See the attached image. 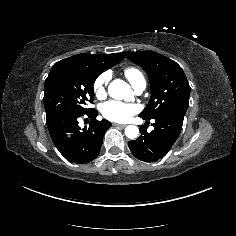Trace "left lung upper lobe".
<instances>
[{
  "label": "left lung upper lobe",
  "instance_id": "left-lung-upper-lobe-1",
  "mask_svg": "<svg viewBox=\"0 0 236 236\" xmlns=\"http://www.w3.org/2000/svg\"><path fill=\"white\" fill-rule=\"evenodd\" d=\"M148 74L151 98L139 115L152 119L171 109L187 110L190 86L182 68L173 60L154 51L124 52Z\"/></svg>",
  "mask_w": 236,
  "mask_h": 236
}]
</instances>
